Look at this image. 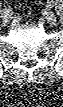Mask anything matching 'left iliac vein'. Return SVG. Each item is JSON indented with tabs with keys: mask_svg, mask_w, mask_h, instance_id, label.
<instances>
[{
	"mask_svg": "<svg viewBox=\"0 0 63 107\" xmlns=\"http://www.w3.org/2000/svg\"><path fill=\"white\" fill-rule=\"evenodd\" d=\"M45 19L50 25H54L56 23V16L53 12H47L45 14Z\"/></svg>",
	"mask_w": 63,
	"mask_h": 107,
	"instance_id": "1",
	"label": "left iliac vein"
}]
</instances>
